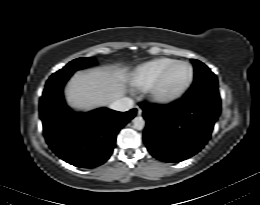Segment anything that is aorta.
<instances>
[{
	"label": "aorta",
	"mask_w": 260,
	"mask_h": 205,
	"mask_svg": "<svg viewBox=\"0 0 260 205\" xmlns=\"http://www.w3.org/2000/svg\"><path fill=\"white\" fill-rule=\"evenodd\" d=\"M144 126H145V120L141 116L135 117L133 119V127L136 130H142Z\"/></svg>",
	"instance_id": "aorta-1"
}]
</instances>
